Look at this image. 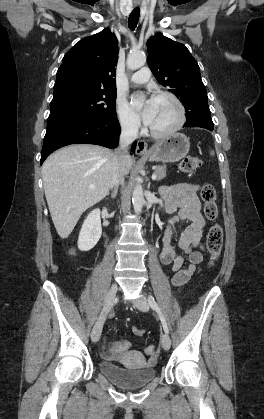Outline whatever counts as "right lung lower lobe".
I'll return each instance as SVG.
<instances>
[{
    "label": "right lung lower lobe",
    "instance_id": "right-lung-lower-lobe-1",
    "mask_svg": "<svg viewBox=\"0 0 264 419\" xmlns=\"http://www.w3.org/2000/svg\"><path fill=\"white\" fill-rule=\"evenodd\" d=\"M121 128L117 117L74 118L46 131L40 164L56 149L73 143L97 144L108 148L118 145ZM136 142L131 146L134 153Z\"/></svg>",
    "mask_w": 264,
    "mask_h": 419
}]
</instances>
